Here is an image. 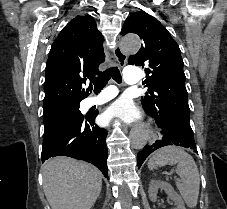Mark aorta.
Returning <instances> with one entry per match:
<instances>
[{
	"mask_svg": "<svg viewBox=\"0 0 227 209\" xmlns=\"http://www.w3.org/2000/svg\"><path fill=\"white\" fill-rule=\"evenodd\" d=\"M141 41L136 35H128L121 41L122 49L127 53H135L139 50ZM147 131L139 128L132 133L131 144L136 149H142L147 141Z\"/></svg>",
	"mask_w": 227,
	"mask_h": 209,
	"instance_id": "1",
	"label": "aorta"
}]
</instances>
